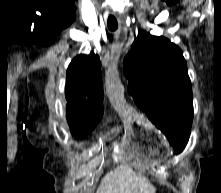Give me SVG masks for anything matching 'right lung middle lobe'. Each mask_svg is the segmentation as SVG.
<instances>
[{
	"label": "right lung middle lobe",
	"instance_id": "dd1d6c3e",
	"mask_svg": "<svg viewBox=\"0 0 221 193\" xmlns=\"http://www.w3.org/2000/svg\"><path fill=\"white\" fill-rule=\"evenodd\" d=\"M99 121L100 118L93 122L82 124L81 126L76 127L74 131L71 130V133L77 138H84L95 128Z\"/></svg>",
	"mask_w": 221,
	"mask_h": 193
}]
</instances>
